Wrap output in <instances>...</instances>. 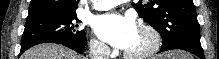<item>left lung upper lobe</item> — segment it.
<instances>
[{"label":"left lung upper lobe","mask_w":219,"mask_h":59,"mask_svg":"<svg viewBox=\"0 0 219 59\" xmlns=\"http://www.w3.org/2000/svg\"><path fill=\"white\" fill-rule=\"evenodd\" d=\"M135 10L162 37V46L185 34H200L193 0H140Z\"/></svg>","instance_id":"1"}]
</instances>
